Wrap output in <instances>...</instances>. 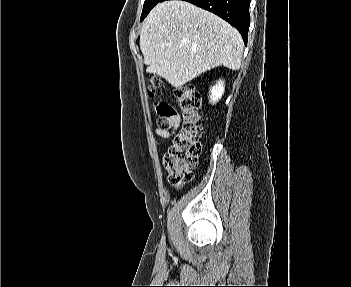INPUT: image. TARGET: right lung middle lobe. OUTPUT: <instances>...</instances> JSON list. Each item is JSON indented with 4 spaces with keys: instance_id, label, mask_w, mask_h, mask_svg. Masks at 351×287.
<instances>
[{
    "instance_id": "1",
    "label": "right lung middle lobe",
    "mask_w": 351,
    "mask_h": 287,
    "mask_svg": "<svg viewBox=\"0 0 351 287\" xmlns=\"http://www.w3.org/2000/svg\"><path fill=\"white\" fill-rule=\"evenodd\" d=\"M159 2H161V0H145L142 15H141V21L148 15V13L152 10V8Z\"/></svg>"
}]
</instances>
